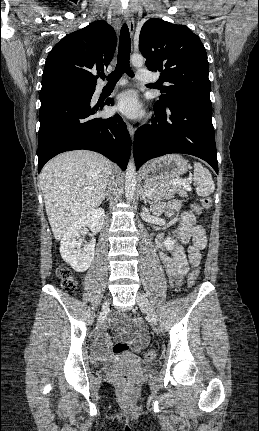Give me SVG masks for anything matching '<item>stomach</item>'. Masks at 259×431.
Listing matches in <instances>:
<instances>
[{
    "mask_svg": "<svg viewBox=\"0 0 259 431\" xmlns=\"http://www.w3.org/2000/svg\"><path fill=\"white\" fill-rule=\"evenodd\" d=\"M188 169L187 161L179 154L159 157L148 163L142 171L146 182L169 181L184 174Z\"/></svg>",
    "mask_w": 259,
    "mask_h": 431,
    "instance_id": "stomach-1",
    "label": "stomach"
}]
</instances>
